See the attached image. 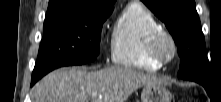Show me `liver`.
<instances>
[{
	"instance_id": "obj_1",
	"label": "liver",
	"mask_w": 221,
	"mask_h": 102,
	"mask_svg": "<svg viewBox=\"0 0 221 102\" xmlns=\"http://www.w3.org/2000/svg\"><path fill=\"white\" fill-rule=\"evenodd\" d=\"M127 66L95 72L72 67L55 70L31 90L33 102H125L141 86L162 83Z\"/></svg>"
}]
</instances>
